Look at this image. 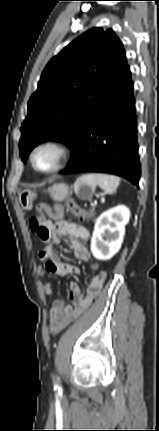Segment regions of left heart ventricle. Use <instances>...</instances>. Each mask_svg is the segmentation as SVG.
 <instances>
[{
  "label": "left heart ventricle",
  "mask_w": 159,
  "mask_h": 431,
  "mask_svg": "<svg viewBox=\"0 0 159 431\" xmlns=\"http://www.w3.org/2000/svg\"><path fill=\"white\" fill-rule=\"evenodd\" d=\"M57 159L58 153L53 148H43L35 154V163L41 170L52 168L56 164Z\"/></svg>",
  "instance_id": "b2bd125f"
}]
</instances>
